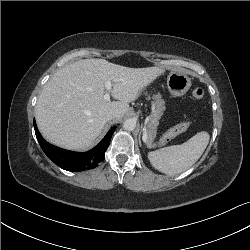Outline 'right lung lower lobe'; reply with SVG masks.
Returning <instances> with one entry per match:
<instances>
[{
    "instance_id": "obj_1",
    "label": "right lung lower lobe",
    "mask_w": 250,
    "mask_h": 250,
    "mask_svg": "<svg viewBox=\"0 0 250 250\" xmlns=\"http://www.w3.org/2000/svg\"><path fill=\"white\" fill-rule=\"evenodd\" d=\"M34 129L38 142L44 153L62 169L73 172L93 169L104 160V153L109 146L111 136L114 133L116 126H113L108 131L106 136L96 147L85 153L68 151L46 142L41 136L35 120Z\"/></svg>"
}]
</instances>
